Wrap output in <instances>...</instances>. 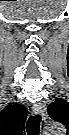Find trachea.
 Listing matches in <instances>:
<instances>
[{"mask_svg": "<svg viewBox=\"0 0 69 135\" xmlns=\"http://www.w3.org/2000/svg\"><path fill=\"white\" fill-rule=\"evenodd\" d=\"M40 122H41L40 115H34L28 119L27 124H26V129H27L28 135H39Z\"/></svg>", "mask_w": 69, "mask_h": 135, "instance_id": "obj_1", "label": "trachea"}]
</instances>
